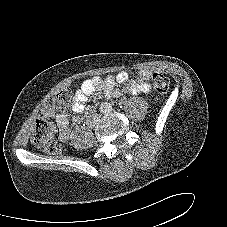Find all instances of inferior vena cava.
<instances>
[{
    "label": "inferior vena cava",
    "mask_w": 227,
    "mask_h": 227,
    "mask_svg": "<svg viewBox=\"0 0 227 227\" xmlns=\"http://www.w3.org/2000/svg\"><path fill=\"white\" fill-rule=\"evenodd\" d=\"M106 104H107V103H106ZM104 106H105V104H102V106H101V111L104 112V111H107V110L109 111V110H110V108L107 109V108H105Z\"/></svg>",
    "instance_id": "obj_1"
}]
</instances>
